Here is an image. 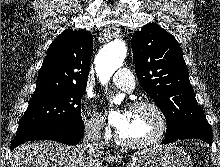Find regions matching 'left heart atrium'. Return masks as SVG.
Instances as JSON below:
<instances>
[{
    "label": "left heart atrium",
    "instance_id": "39dd6f15",
    "mask_svg": "<svg viewBox=\"0 0 220 167\" xmlns=\"http://www.w3.org/2000/svg\"><path fill=\"white\" fill-rule=\"evenodd\" d=\"M128 115L129 110L126 109L111 111L109 114V122L119 131L125 125Z\"/></svg>",
    "mask_w": 220,
    "mask_h": 167
}]
</instances>
